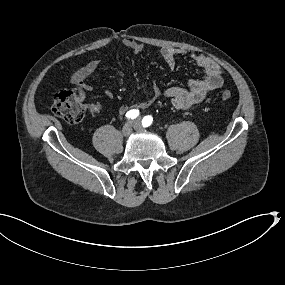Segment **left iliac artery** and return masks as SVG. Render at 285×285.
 Returning a JSON list of instances; mask_svg holds the SVG:
<instances>
[{
    "mask_svg": "<svg viewBox=\"0 0 285 285\" xmlns=\"http://www.w3.org/2000/svg\"><path fill=\"white\" fill-rule=\"evenodd\" d=\"M153 118L152 116H145L142 120L143 127H148L152 124Z\"/></svg>",
    "mask_w": 285,
    "mask_h": 285,
    "instance_id": "44dca946",
    "label": "left iliac artery"
}]
</instances>
